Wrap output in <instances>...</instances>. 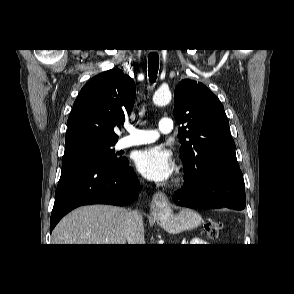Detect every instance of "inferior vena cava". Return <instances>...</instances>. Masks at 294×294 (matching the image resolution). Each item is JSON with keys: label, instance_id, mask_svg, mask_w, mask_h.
Instances as JSON below:
<instances>
[{"label": "inferior vena cava", "instance_id": "obj_1", "mask_svg": "<svg viewBox=\"0 0 294 294\" xmlns=\"http://www.w3.org/2000/svg\"><path fill=\"white\" fill-rule=\"evenodd\" d=\"M126 237L128 244H145L143 217L138 210H130L127 213Z\"/></svg>", "mask_w": 294, "mask_h": 294}]
</instances>
